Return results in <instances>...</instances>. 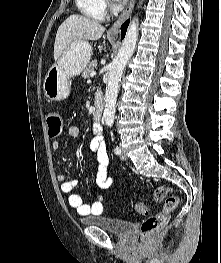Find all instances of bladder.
I'll list each match as a JSON object with an SVG mask.
<instances>
[{
	"label": "bladder",
	"instance_id": "bladder-1",
	"mask_svg": "<svg viewBox=\"0 0 221 263\" xmlns=\"http://www.w3.org/2000/svg\"><path fill=\"white\" fill-rule=\"evenodd\" d=\"M84 224L94 225L120 237H127L135 224L132 221L112 216H91L83 220Z\"/></svg>",
	"mask_w": 221,
	"mask_h": 263
}]
</instances>
